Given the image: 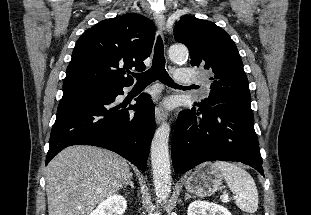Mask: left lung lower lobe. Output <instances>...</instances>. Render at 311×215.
<instances>
[{"instance_id":"left-lung-lower-lobe-1","label":"left lung lower lobe","mask_w":311,"mask_h":215,"mask_svg":"<svg viewBox=\"0 0 311 215\" xmlns=\"http://www.w3.org/2000/svg\"><path fill=\"white\" fill-rule=\"evenodd\" d=\"M251 107L237 104L198 105L182 111L172 138L175 172H186L213 160L239 161L263 175Z\"/></svg>"}]
</instances>
